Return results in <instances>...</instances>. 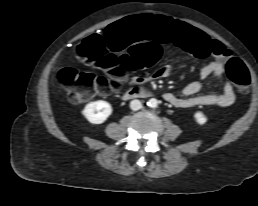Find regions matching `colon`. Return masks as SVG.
I'll use <instances>...</instances> for the list:
<instances>
[{
	"mask_svg": "<svg viewBox=\"0 0 258 206\" xmlns=\"http://www.w3.org/2000/svg\"><path fill=\"white\" fill-rule=\"evenodd\" d=\"M78 58L87 64H96L106 72L105 76L83 72L73 67H64L57 74V82L66 91L72 102L80 103L90 97L117 91L128 72L153 66L160 58V48L145 44L129 48L127 54L118 57L110 52L104 42L86 41L77 49ZM225 71L230 84L242 93H247L250 75L241 60L230 58Z\"/></svg>",
	"mask_w": 258,
	"mask_h": 206,
	"instance_id": "colon-1",
	"label": "colon"
}]
</instances>
